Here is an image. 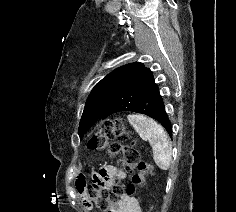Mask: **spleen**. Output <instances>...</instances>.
<instances>
[{"instance_id": "1", "label": "spleen", "mask_w": 236, "mask_h": 212, "mask_svg": "<svg viewBox=\"0 0 236 212\" xmlns=\"http://www.w3.org/2000/svg\"><path fill=\"white\" fill-rule=\"evenodd\" d=\"M127 119L139 136L150 143L156 165L167 170L172 160V146L163 127L142 114H131Z\"/></svg>"}]
</instances>
